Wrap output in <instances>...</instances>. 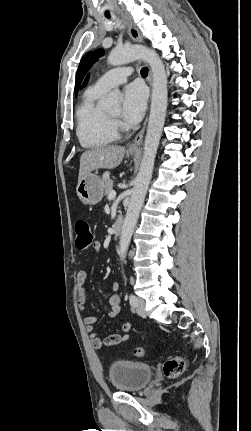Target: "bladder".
Returning <instances> with one entry per match:
<instances>
[{
  "label": "bladder",
  "mask_w": 251,
  "mask_h": 431,
  "mask_svg": "<svg viewBox=\"0 0 251 431\" xmlns=\"http://www.w3.org/2000/svg\"><path fill=\"white\" fill-rule=\"evenodd\" d=\"M108 374L116 390L134 392L149 384L153 377V369L146 363L115 361L110 365Z\"/></svg>",
  "instance_id": "bladder-1"
}]
</instances>
